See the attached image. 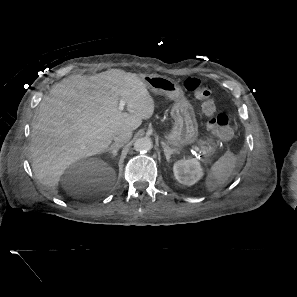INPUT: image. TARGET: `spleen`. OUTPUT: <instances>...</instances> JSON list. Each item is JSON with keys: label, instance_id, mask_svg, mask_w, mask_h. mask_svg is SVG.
Masks as SVG:
<instances>
[{"label": "spleen", "instance_id": "1", "mask_svg": "<svg viewBox=\"0 0 297 297\" xmlns=\"http://www.w3.org/2000/svg\"><path fill=\"white\" fill-rule=\"evenodd\" d=\"M237 158L231 153H225L210 168L205 187L209 192H213L219 186L224 185L234 172Z\"/></svg>", "mask_w": 297, "mask_h": 297}]
</instances>
